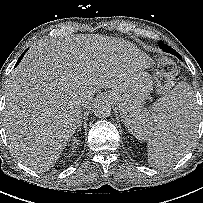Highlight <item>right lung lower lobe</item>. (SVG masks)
I'll return each instance as SVG.
<instances>
[{
    "label": "right lung lower lobe",
    "instance_id": "1",
    "mask_svg": "<svg viewBox=\"0 0 203 203\" xmlns=\"http://www.w3.org/2000/svg\"><path fill=\"white\" fill-rule=\"evenodd\" d=\"M24 53H25V52H24ZM24 53L21 55V57H20L19 60L17 61V64H16V65L19 64V62L21 61L22 57L24 56Z\"/></svg>",
    "mask_w": 203,
    "mask_h": 203
}]
</instances>
